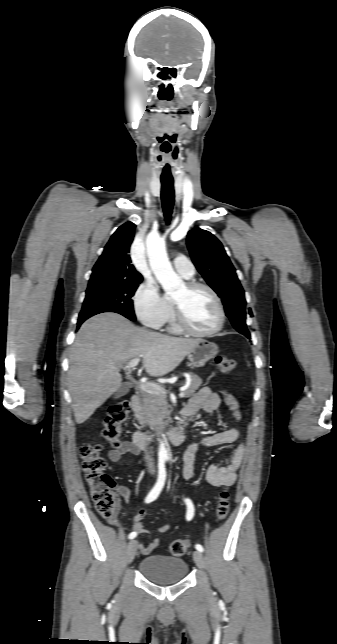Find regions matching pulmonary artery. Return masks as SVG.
I'll list each match as a JSON object with an SVG mask.
<instances>
[{
	"mask_svg": "<svg viewBox=\"0 0 337 644\" xmlns=\"http://www.w3.org/2000/svg\"><path fill=\"white\" fill-rule=\"evenodd\" d=\"M173 264L175 270L185 278H191L195 274L192 262L184 256L176 257Z\"/></svg>",
	"mask_w": 337,
	"mask_h": 644,
	"instance_id": "e3ab8cb5",
	"label": "pulmonary artery"
}]
</instances>
